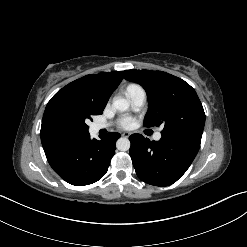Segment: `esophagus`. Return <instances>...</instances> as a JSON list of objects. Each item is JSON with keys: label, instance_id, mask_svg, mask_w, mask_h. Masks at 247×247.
<instances>
[{"label": "esophagus", "instance_id": "esophagus-1", "mask_svg": "<svg viewBox=\"0 0 247 247\" xmlns=\"http://www.w3.org/2000/svg\"><path fill=\"white\" fill-rule=\"evenodd\" d=\"M131 135V133H129V132H123L122 133V136L123 137H129Z\"/></svg>", "mask_w": 247, "mask_h": 247}]
</instances>
